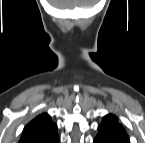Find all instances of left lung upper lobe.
Wrapping results in <instances>:
<instances>
[{"mask_svg": "<svg viewBox=\"0 0 145 143\" xmlns=\"http://www.w3.org/2000/svg\"><path fill=\"white\" fill-rule=\"evenodd\" d=\"M97 137L110 141L111 143H129V137L118 118L108 114L103 117L102 123L98 127Z\"/></svg>", "mask_w": 145, "mask_h": 143, "instance_id": "5c2ea615", "label": "left lung upper lobe"}]
</instances>
